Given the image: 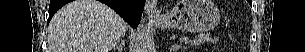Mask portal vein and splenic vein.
I'll return each instance as SVG.
<instances>
[{
    "mask_svg": "<svg viewBox=\"0 0 305 52\" xmlns=\"http://www.w3.org/2000/svg\"><path fill=\"white\" fill-rule=\"evenodd\" d=\"M187 39L184 37V38H181L180 41H186Z\"/></svg>",
    "mask_w": 305,
    "mask_h": 52,
    "instance_id": "18ae733b",
    "label": "portal vein and splenic vein"
}]
</instances>
